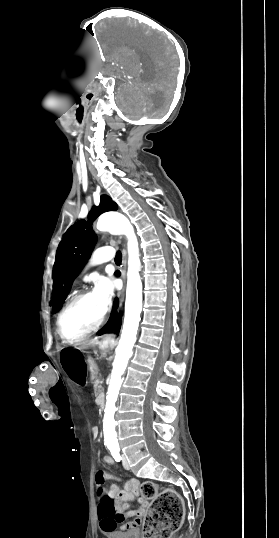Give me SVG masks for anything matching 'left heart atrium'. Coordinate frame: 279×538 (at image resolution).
<instances>
[{
    "mask_svg": "<svg viewBox=\"0 0 279 538\" xmlns=\"http://www.w3.org/2000/svg\"><path fill=\"white\" fill-rule=\"evenodd\" d=\"M94 294L101 302L103 310L108 309L114 294L113 278L100 276L95 282Z\"/></svg>",
    "mask_w": 279,
    "mask_h": 538,
    "instance_id": "39dd6f15",
    "label": "left heart atrium"
}]
</instances>
